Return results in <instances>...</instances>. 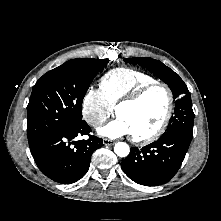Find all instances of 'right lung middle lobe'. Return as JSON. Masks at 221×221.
I'll use <instances>...</instances> for the list:
<instances>
[{
	"label": "right lung middle lobe",
	"mask_w": 221,
	"mask_h": 221,
	"mask_svg": "<svg viewBox=\"0 0 221 221\" xmlns=\"http://www.w3.org/2000/svg\"><path fill=\"white\" fill-rule=\"evenodd\" d=\"M107 60L78 58L44 74L34 85L27 106L29 146L82 121V101L94 76Z\"/></svg>",
	"instance_id": "obj_1"
}]
</instances>
